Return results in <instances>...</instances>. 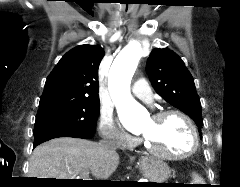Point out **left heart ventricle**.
I'll return each instance as SVG.
<instances>
[{
	"label": "left heart ventricle",
	"instance_id": "1",
	"mask_svg": "<svg viewBox=\"0 0 240 187\" xmlns=\"http://www.w3.org/2000/svg\"><path fill=\"white\" fill-rule=\"evenodd\" d=\"M158 151L180 154L191 145V136L185 123L175 115L162 120H146L138 130Z\"/></svg>",
	"mask_w": 240,
	"mask_h": 187
}]
</instances>
